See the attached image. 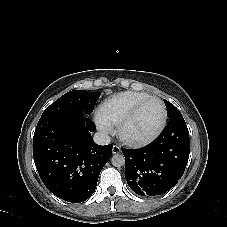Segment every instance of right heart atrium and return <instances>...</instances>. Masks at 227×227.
<instances>
[{"label":"right heart atrium","instance_id":"obj_1","mask_svg":"<svg viewBox=\"0 0 227 227\" xmlns=\"http://www.w3.org/2000/svg\"><path fill=\"white\" fill-rule=\"evenodd\" d=\"M96 125L98 129L104 134H109L112 131V125L99 116L96 117Z\"/></svg>","mask_w":227,"mask_h":227}]
</instances>
